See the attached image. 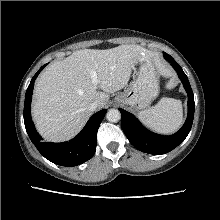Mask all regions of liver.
I'll list each match as a JSON object with an SVG mask.
<instances>
[{
    "mask_svg": "<svg viewBox=\"0 0 220 220\" xmlns=\"http://www.w3.org/2000/svg\"><path fill=\"white\" fill-rule=\"evenodd\" d=\"M150 61L146 50L135 44L106 50L83 49L48 66L38 78L32 106L39 133L53 142L75 136L98 103L104 108L109 94L123 89L135 64ZM97 73V83L90 72Z\"/></svg>",
    "mask_w": 220,
    "mask_h": 220,
    "instance_id": "1",
    "label": "liver"
}]
</instances>
